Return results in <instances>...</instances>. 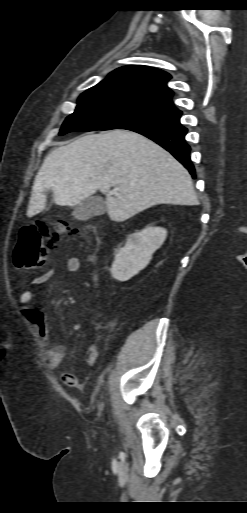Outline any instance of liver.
<instances>
[{"label": "liver", "instance_id": "6515ba94", "mask_svg": "<svg viewBox=\"0 0 247 513\" xmlns=\"http://www.w3.org/2000/svg\"><path fill=\"white\" fill-rule=\"evenodd\" d=\"M112 186L120 188L115 196ZM98 190L116 222L158 204H199L189 172L169 152L139 133L115 129L53 150L35 177L27 216L46 208L48 191L55 204L76 206Z\"/></svg>", "mask_w": 247, "mask_h": 513}]
</instances>
